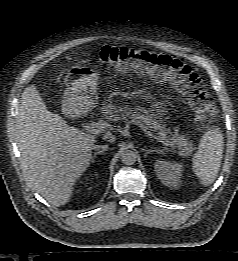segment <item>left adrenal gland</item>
Returning a JSON list of instances; mask_svg holds the SVG:
<instances>
[{"instance_id":"a2214340","label":"left adrenal gland","mask_w":238,"mask_h":261,"mask_svg":"<svg viewBox=\"0 0 238 261\" xmlns=\"http://www.w3.org/2000/svg\"><path fill=\"white\" fill-rule=\"evenodd\" d=\"M142 151H144V156L146 157L148 154L152 153V152H158L159 150L156 148H151L148 149L147 147L143 148Z\"/></svg>"}]
</instances>
